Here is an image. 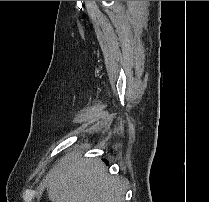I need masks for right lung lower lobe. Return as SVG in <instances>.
Wrapping results in <instances>:
<instances>
[{"mask_svg":"<svg viewBox=\"0 0 209 202\" xmlns=\"http://www.w3.org/2000/svg\"><path fill=\"white\" fill-rule=\"evenodd\" d=\"M106 162V164L108 165V162L106 160H104Z\"/></svg>","mask_w":209,"mask_h":202,"instance_id":"obj_1","label":"right lung lower lobe"}]
</instances>
